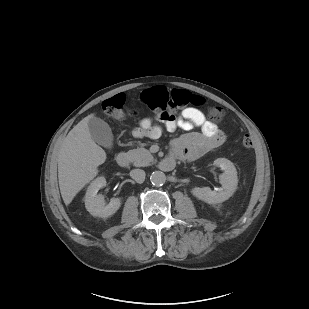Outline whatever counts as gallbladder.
Segmentation results:
<instances>
[{
    "label": "gallbladder",
    "mask_w": 309,
    "mask_h": 309,
    "mask_svg": "<svg viewBox=\"0 0 309 309\" xmlns=\"http://www.w3.org/2000/svg\"><path fill=\"white\" fill-rule=\"evenodd\" d=\"M92 139L105 148H112L113 134L110 126L101 118L93 117L88 121Z\"/></svg>",
    "instance_id": "gallbladder-1"
}]
</instances>
